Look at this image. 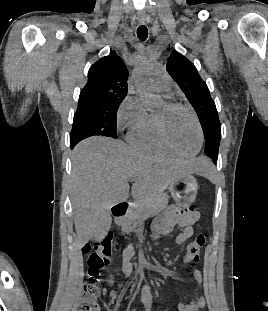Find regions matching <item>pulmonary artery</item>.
<instances>
[{
    "label": "pulmonary artery",
    "instance_id": "e3ab8cb5",
    "mask_svg": "<svg viewBox=\"0 0 268 311\" xmlns=\"http://www.w3.org/2000/svg\"><path fill=\"white\" fill-rule=\"evenodd\" d=\"M153 88L156 91L169 93L170 91V79L166 74H157L155 78L152 79Z\"/></svg>",
    "mask_w": 268,
    "mask_h": 311
}]
</instances>
